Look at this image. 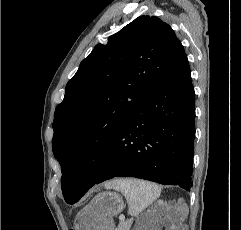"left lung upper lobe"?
I'll use <instances>...</instances> for the list:
<instances>
[{
    "instance_id": "obj_1",
    "label": "left lung upper lobe",
    "mask_w": 241,
    "mask_h": 230,
    "mask_svg": "<svg viewBox=\"0 0 241 230\" xmlns=\"http://www.w3.org/2000/svg\"><path fill=\"white\" fill-rule=\"evenodd\" d=\"M184 48L171 27L140 16L98 44L67 83L55 110L52 149L62 169L64 199L78 201V166L111 142L147 94L178 64Z\"/></svg>"
}]
</instances>
